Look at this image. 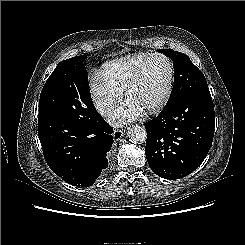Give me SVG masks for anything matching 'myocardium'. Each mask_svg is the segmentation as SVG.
<instances>
[{
	"label": "myocardium",
	"mask_w": 245,
	"mask_h": 245,
	"mask_svg": "<svg viewBox=\"0 0 245 245\" xmlns=\"http://www.w3.org/2000/svg\"><path fill=\"white\" fill-rule=\"evenodd\" d=\"M152 58H162L167 62L168 80H167L165 90H164L162 96L159 98V100L156 103H154L153 105H151L145 109V111L147 113H156V112L160 111L165 106V104L167 103V101H168V99L172 93L173 84H174V66H173L171 59L162 53L155 52V53L149 54V56L138 67L135 74L133 75V77L130 79V81L128 82V84L125 87V96L128 98L132 89L140 82V80L144 74L145 68Z\"/></svg>",
	"instance_id": "obj_1"
}]
</instances>
